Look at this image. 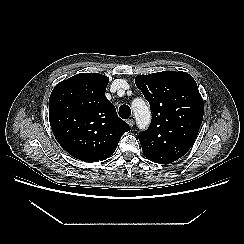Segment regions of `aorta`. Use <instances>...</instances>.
I'll return each mask as SVG.
<instances>
[{"mask_svg":"<svg viewBox=\"0 0 244 244\" xmlns=\"http://www.w3.org/2000/svg\"><path fill=\"white\" fill-rule=\"evenodd\" d=\"M132 107L138 126L141 129L146 128L149 125L151 118L149 107L142 99L134 100Z\"/></svg>","mask_w":244,"mask_h":244,"instance_id":"1","label":"aorta"}]
</instances>
